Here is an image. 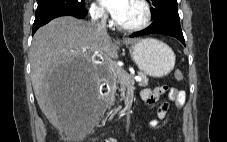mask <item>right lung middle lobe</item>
Returning a JSON list of instances; mask_svg holds the SVG:
<instances>
[{
	"label": "right lung middle lobe",
	"instance_id": "right-lung-middle-lobe-1",
	"mask_svg": "<svg viewBox=\"0 0 227 142\" xmlns=\"http://www.w3.org/2000/svg\"><path fill=\"white\" fill-rule=\"evenodd\" d=\"M36 15L56 10L84 9L85 0H37Z\"/></svg>",
	"mask_w": 227,
	"mask_h": 142
}]
</instances>
